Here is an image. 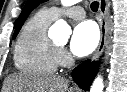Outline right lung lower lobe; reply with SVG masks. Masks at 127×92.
<instances>
[{"instance_id":"obj_1","label":"right lung lower lobe","mask_w":127,"mask_h":92,"mask_svg":"<svg viewBox=\"0 0 127 92\" xmlns=\"http://www.w3.org/2000/svg\"><path fill=\"white\" fill-rule=\"evenodd\" d=\"M98 67L97 62L86 60L73 70L72 77L82 89L87 90L97 74Z\"/></svg>"}]
</instances>
